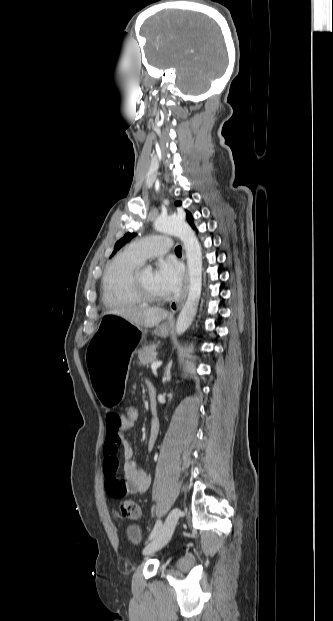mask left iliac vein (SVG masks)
I'll list each match as a JSON object with an SVG mask.
<instances>
[{
  "mask_svg": "<svg viewBox=\"0 0 333 621\" xmlns=\"http://www.w3.org/2000/svg\"><path fill=\"white\" fill-rule=\"evenodd\" d=\"M181 510L179 508H173L167 516L159 534L147 544L143 550V554L149 555L160 549H162L171 539L178 519L180 517Z\"/></svg>",
  "mask_w": 333,
  "mask_h": 621,
  "instance_id": "obj_1",
  "label": "left iliac vein"
}]
</instances>
